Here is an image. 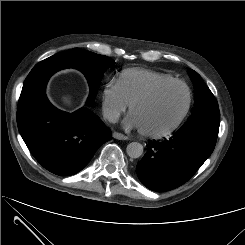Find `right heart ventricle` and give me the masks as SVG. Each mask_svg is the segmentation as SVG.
Returning a JSON list of instances; mask_svg holds the SVG:
<instances>
[{
    "instance_id": "1",
    "label": "right heart ventricle",
    "mask_w": 245,
    "mask_h": 245,
    "mask_svg": "<svg viewBox=\"0 0 245 245\" xmlns=\"http://www.w3.org/2000/svg\"><path fill=\"white\" fill-rule=\"evenodd\" d=\"M174 79L172 76L145 69H128L118 78V87L128 104L153 86Z\"/></svg>"
}]
</instances>
